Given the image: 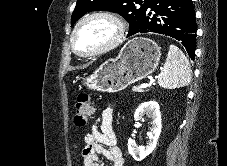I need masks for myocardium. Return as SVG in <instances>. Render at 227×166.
<instances>
[{
  "label": "myocardium",
  "mask_w": 227,
  "mask_h": 166,
  "mask_svg": "<svg viewBox=\"0 0 227 166\" xmlns=\"http://www.w3.org/2000/svg\"><path fill=\"white\" fill-rule=\"evenodd\" d=\"M97 18L110 21L116 29L115 36L108 43H106L105 45L101 46L96 50H93L90 52L80 51L75 44V38H76L77 32L86 22ZM125 36H126V27L118 16L110 12H93L88 15H85L75 24L70 36V44H71L72 50L76 54L83 57H94V56L102 55L116 48L118 45H120L123 42V40L125 39Z\"/></svg>",
  "instance_id": "obj_1"
}]
</instances>
